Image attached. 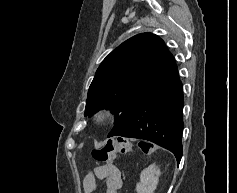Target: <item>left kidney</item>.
<instances>
[{"instance_id":"5707ae66","label":"left kidney","mask_w":237,"mask_h":193,"mask_svg":"<svg viewBox=\"0 0 237 193\" xmlns=\"http://www.w3.org/2000/svg\"><path fill=\"white\" fill-rule=\"evenodd\" d=\"M160 175L161 171L155 164L144 169L140 174V182L136 185L137 193H154Z\"/></svg>"}]
</instances>
